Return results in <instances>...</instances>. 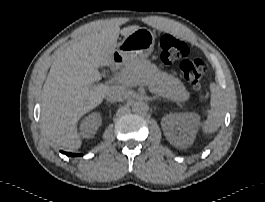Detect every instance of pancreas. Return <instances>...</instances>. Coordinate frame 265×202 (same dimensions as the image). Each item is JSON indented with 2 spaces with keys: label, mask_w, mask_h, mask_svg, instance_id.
<instances>
[{
  "label": "pancreas",
  "mask_w": 265,
  "mask_h": 202,
  "mask_svg": "<svg viewBox=\"0 0 265 202\" xmlns=\"http://www.w3.org/2000/svg\"><path fill=\"white\" fill-rule=\"evenodd\" d=\"M120 76L128 86L144 82L156 93L174 102H185L190 98V93L178 78L161 71L147 60L127 62Z\"/></svg>",
  "instance_id": "pancreas-1"
}]
</instances>
